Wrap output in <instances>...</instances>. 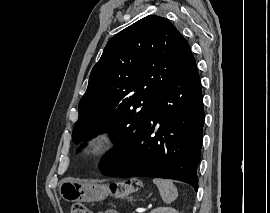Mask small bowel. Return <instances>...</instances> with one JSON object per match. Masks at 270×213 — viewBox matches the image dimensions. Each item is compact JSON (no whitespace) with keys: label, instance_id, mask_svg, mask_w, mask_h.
Instances as JSON below:
<instances>
[{"label":"small bowel","instance_id":"1","mask_svg":"<svg viewBox=\"0 0 270 213\" xmlns=\"http://www.w3.org/2000/svg\"><path fill=\"white\" fill-rule=\"evenodd\" d=\"M98 213H118V212L116 210H114V209H107L105 211L98 212Z\"/></svg>","mask_w":270,"mask_h":213}]
</instances>
